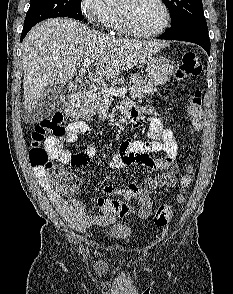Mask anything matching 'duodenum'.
I'll list each match as a JSON object with an SVG mask.
<instances>
[{
    "label": "duodenum",
    "mask_w": 233,
    "mask_h": 294,
    "mask_svg": "<svg viewBox=\"0 0 233 294\" xmlns=\"http://www.w3.org/2000/svg\"><path fill=\"white\" fill-rule=\"evenodd\" d=\"M81 99L82 94L80 92L74 93L69 96L66 102V114L69 117H75L77 115Z\"/></svg>",
    "instance_id": "1"
}]
</instances>
